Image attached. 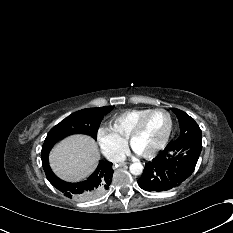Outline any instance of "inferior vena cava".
Here are the masks:
<instances>
[{
    "instance_id": "inferior-vena-cava-1",
    "label": "inferior vena cava",
    "mask_w": 233,
    "mask_h": 233,
    "mask_svg": "<svg viewBox=\"0 0 233 233\" xmlns=\"http://www.w3.org/2000/svg\"><path fill=\"white\" fill-rule=\"evenodd\" d=\"M107 159L113 163L121 162L125 160V156L119 153L111 154Z\"/></svg>"
}]
</instances>
